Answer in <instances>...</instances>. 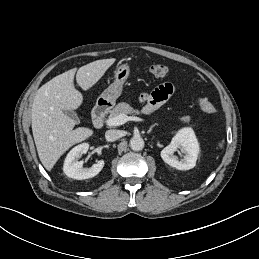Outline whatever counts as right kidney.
<instances>
[{
  "label": "right kidney",
  "instance_id": "right-kidney-1",
  "mask_svg": "<svg viewBox=\"0 0 259 259\" xmlns=\"http://www.w3.org/2000/svg\"><path fill=\"white\" fill-rule=\"evenodd\" d=\"M89 149L88 143H82L75 146L64 161V173L73 179L83 180L96 176L104 167V160H98L91 168L84 169L83 162L78 161L82 154H86Z\"/></svg>",
  "mask_w": 259,
  "mask_h": 259
}]
</instances>
